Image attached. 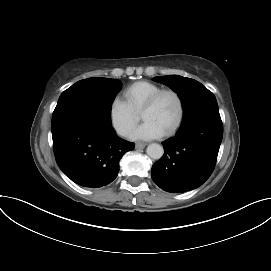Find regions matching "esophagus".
<instances>
[{
    "label": "esophagus",
    "mask_w": 271,
    "mask_h": 271,
    "mask_svg": "<svg viewBox=\"0 0 271 271\" xmlns=\"http://www.w3.org/2000/svg\"><path fill=\"white\" fill-rule=\"evenodd\" d=\"M145 146H146V143H142V142H137L135 144L136 149H143V148H145Z\"/></svg>",
    "instance_id": "1"
}]
</instances>
